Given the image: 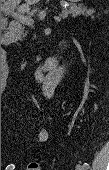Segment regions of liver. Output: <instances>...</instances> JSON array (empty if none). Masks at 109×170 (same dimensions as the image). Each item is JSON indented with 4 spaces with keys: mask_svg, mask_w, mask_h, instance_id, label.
Segmentation results:
<instances>
[{
    "mask_svg": "<svg viewBox=\"0 0 109 170\" xmlns=\"http://www.w3.org/2000/svg\"><path fill=\"white\" fill-rule=\"evenodd\" d=\"M40 0H25L26 4L21 5L18 8V11L22 12H29L30 10V5L38 3ZM3 3H7L9 6L12 5L13 3H20V0H2ZM8 7V6H6Z\"/></svg>",
    "mask_w": 109,
    "mask_h": 170,
    "instance_id": "obj_1",
    "label": "liver"
}]
</instances>
